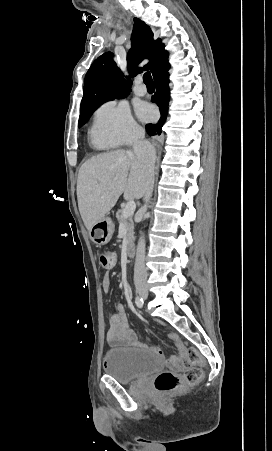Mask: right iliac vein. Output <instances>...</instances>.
Instances as JSON below:
<instances>
[{"label": "right iliac vein", "instance_id": "63e3f726", "mask_svg": "<svg viewBox=\"0 0 272 451\" xmlns=\"http://www.w3.org/2000/svg\"><path fill=\"white\" fill-rule=\"evenodd\" d=\"M138 293L144 299H146L147 296H148V290L146 288H143V287L138 289Z\"/></svg>", "mask_w": 272, "mask_h": 451}]
</instances>
